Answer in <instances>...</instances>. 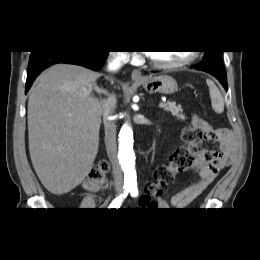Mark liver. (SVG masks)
<instances>
[{"instance_id": "6515ba94", "label": "liver", "mask_w": 260, "mask_h": 260, "mask_svg": "<svg viewBox=\"0 0 260 260\" xmlns=\"http://www.w3.org/2000/svg\"><path fill=\"white\" fill-rule=\"evenodd\" d=\"M99 77L82 66L56 64L30 90L29 153L41 183L53 194L68 193L92 169L103 110L91 91Z\"/></svg>"}]
</instances>
